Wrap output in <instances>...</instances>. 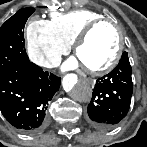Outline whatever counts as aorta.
Masks as SVG:
<instances>
[{"instance_id":"obj_1","label":"aorta","mask_w":147,"mask_h":147,"mask_svg":"<svg viewBox=\"0 0 147 147\" xmlns=\"http://www.w3.org/2000/svg\"><path fill=\"white\" fill-rule=\"evenodd\" d=\"M73 98L79 102H88L92 96V90L87 82L78 83L71 91Z\"/></svg>"}]
</instances>
